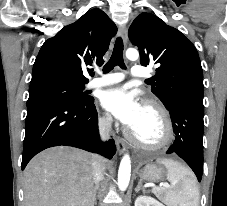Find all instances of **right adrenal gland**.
Instances as JSON below:
<instances>
[{"label": "right adrenal gland", "instance_id": "obj_1", "mask_svg": "<svg viewBox=\"0 0 227 206\" xmlns=\"http://www.w3.org/2000/svg\"><path fill=\"white\" fill-rule=\"evenodd\" d=\"M99 189V186L96 185L94 188V192H93V201H92V206H94L96 204V195H97V191Z\"/></svg>", "mask_w": 227, "mask_h": 206}]
</instances>
